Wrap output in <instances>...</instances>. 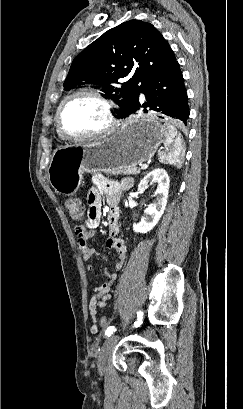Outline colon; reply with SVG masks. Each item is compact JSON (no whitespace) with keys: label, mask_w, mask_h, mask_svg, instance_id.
<instances>
[{"label":"colon","mask_w":243,"mask_h":409,"mask_svg":"<svg viewBox=\"0 0 243 409\" xmlns=\"http://www.w3.org/2000/svg\"><path fill=\"white\" fill-rule=\"evenodd\" d=\"M65 206L70 218L75 222V233L78 237H84L87 230L83 224L84 209L80 200L77 198H70L66 201ZM99 325L103 328L108 327L109 320L106 317H101L99 319Z\"/></svg>","instance_id":"1"}]
</instances>
